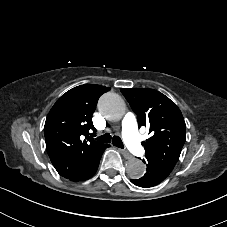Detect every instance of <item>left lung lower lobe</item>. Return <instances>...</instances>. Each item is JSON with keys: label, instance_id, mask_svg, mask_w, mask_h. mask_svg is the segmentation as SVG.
<instances>
[{"label": "left lung lower lobe", "instance_id": "obj_1", "mask_svg": "<svg viewBox=\"0 0 227 227\" xmlns=\"http://www.w3.org/2000/svg\"><path fill=\"white\" fill-rule=\"evenodd\" d=\"M143 162L147 163V172L140 179H131V182L134 185L140 187H152L162 182L170 174L169 171L155 162H148L146 160H143Z\"/></svg>", "mask_w": 227, "mask_h": 227}]
</instances>
